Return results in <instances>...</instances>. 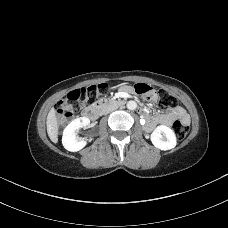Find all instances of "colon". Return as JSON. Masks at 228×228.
<instances>
[{"label":"colon","mask_w":228,"mask_h":228,"mask_svg":"<svg viewBox=\"0 0 228 228\" xmlns=\"http://www.w3.org/2000/svg\"><path fill=\"white\" fill-rule=\"evenodd\" d=\"M134 91L143 96H151L154 92L153 88L145 83H136ZM106 84L92 85L87 88L76 89L69 92L66 98L57 106L55 115L60 124L68 123L74 116V111L81 104H89L95 101L98 94L105 92ZM158 106L165 110L173 108L176 105V98L165 90H159ZM173 130L176 137L180 140L184 139L188 134V126L182 121L173 123Z\"/></svg>","instance_id":"5ec220e1"}]
</instances>
